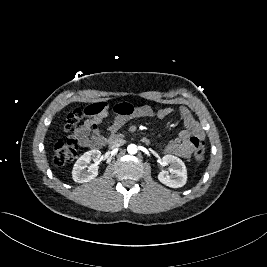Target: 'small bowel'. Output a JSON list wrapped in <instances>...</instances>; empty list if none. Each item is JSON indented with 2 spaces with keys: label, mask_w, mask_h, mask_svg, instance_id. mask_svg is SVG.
Listing matches in <instances>:
<instances>
[{
  "label": "small bowel",
  "mask_w": 267,
  "mask_h": 267,
  "mask_svg": "<svg viewBox=\"0 0 267 267\" xmlns=\"http://www.w3.org/2000/svg\"><path fill=\"white\" fill-rule=\"evenodd\" d=\"M93 112L87 115V119L77 127L76 136L82 147L98 148L104 145L106 135L102 130V123L108 116L107 104L100 102L88 106ZM116 116L109 126V130L114 132L121 128L129 119L152 117L165 119L170 116L174 110L170 107H163L155 111L148 105L133 106L130 103H119L114 108ZM182 117L184 129L180 131L176 139L170 141L164 148V153L187 159L194 151L195 139L203 140L204 132L194 118L192 113L184 106L179 108Z\"/></svg>",
  "instance_id": "1"
}]
</instances>
